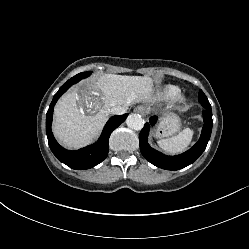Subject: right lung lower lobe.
Segmentation results:
<instances>
[{
  "label": "right lung lower lobe",
  "instance_id": "98d812e1",
  "mask_svg": "<svg viewBox=\"0 0 249 249\" xmlns=\"http://www.w3.org/2000/svg\"><path fill=\"white\" fill-rule=\"evenodd\" d=\"M81 79H84L78 74L71 79H69L54 95L53 100L49 106L47 115H46V133L48 137V143L53 154L64 164L70 168L76 170L89 169L97 164L101 163L108 155L109 151V137L111 133L125 121L128 114L113 116L106 123L102 134L98 141L92 145L84 147L79 150L69 151L61 147L55 140L52 131L51 123L53 117L54 105L59 99V97L67 91L69 87L77 83Z\"/></svg>",
  "mask_w": 249,
  "mask_h": 249
}]
</instances>
